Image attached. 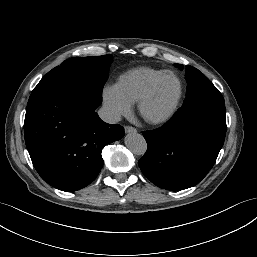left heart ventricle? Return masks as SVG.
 <instances>
[{
	"instance_id": "left-heart-ventricle-1",
	"label": "left heart ventricle",
	"mask_w": 257,
	"mask_h": 257,
	"mask_svg": "<svg viewBox=\"0 0 257 257\" xmlns=\"http://www.w3.org/2000/svg\"><path fill=\"white\" fill-rule=\"evenodd\" d=\"M178 94V80L172 75L164 77L158 83L152 97L145 105V115L150 118H159L164 116L173 107Z\"/></svg>"
}]
</instances>
